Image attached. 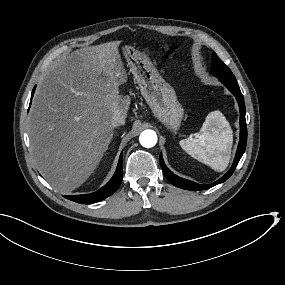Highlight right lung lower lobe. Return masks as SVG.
<instances>
[{
  "mask_svg": "<svg viewBox=\"0 0 285 285\" xmlns=\"http://www.w3.org/2000/svg\"><path fill=\"white\" fill-rule=\"evenodd\" d=\"M35 88L36 86L34 87L32 91L31 98L33 97ZM30 104H31V101H30ZM122 179H123V162H122V153H121L115 174L113 175L111 180L106 185H104L98 191L91 193V194L70 195V196H64V197L71 201L81 203V204L95 203V202L101 201L107 198L108 196L112 195L119 188L122 182Z\"/></svg>",
  "mask_w": 285,
  "mask_h": 285,
  "instance_id": "right-lung-lower-lobe-1",
  "label": "right lung lower lobe"
}]
</instances>
